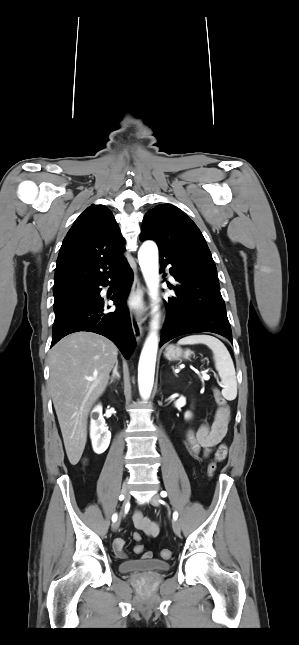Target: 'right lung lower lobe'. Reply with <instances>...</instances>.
<instances>
[{
	"mask_svg": "<svg viewBox=\"0 0 299 645\" xmlns=\"http://www.w3.org/2000/svg\"><path fill=\"white\" fill-rule=\"evenodd\" d=\"M119 279V286L111 300L116 304L114 312H104L105 301L100 297L101 288ZM133 282V271L125 260L113 273L90 284L86 298L71 305L55 316L51 347L64 336L78 331L103 335L113 341L126 359L135 346V338L128 309L123 305Z\"/></svg>",
	"mask_w": 299,
	"mask_h": 645,
	"instance_id": "98d812e1",
	"label": "right lung lower lobe"
}]
</instances>
